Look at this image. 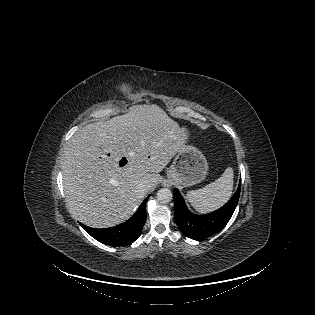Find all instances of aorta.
Segmentation results:
<instances>
[{"instance_id":"762f6f07","label":"aorta","mask_w":315,"mask_h":315,"mask_svg":"<svg viewBox=\"0 0 315 315\" xmlns=\"http://www.w3.org/2000/svg\"><path fill=\"white\" fill-rule=\"evenodd\" d=\"M173 194L170 189L168 188H163L158 190L157 192V201L160 203L166 204L169 203L172 200Z\"/></svg>"}]
</instances>
